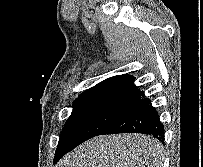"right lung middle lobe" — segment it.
Returning <instances> with one entry per match:
<instances>
[{
  "label": "right lung middle lobe",
  "mask_w": 203,
  "mask_h": 167,
  "mask_svg": "<svg viewBox=\"0 0 203 167\" xmlns=\"http://www.w3.org/2000/svg\"><path fill=\"white\" fill-rule=\"evenodd\" d=\"M130 108L104 101H75L58 144L71 151L82 142L101 135Z\"/></svg>",
  "instance_id": "1"
}]
</instances>
